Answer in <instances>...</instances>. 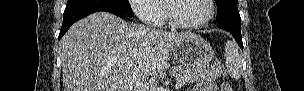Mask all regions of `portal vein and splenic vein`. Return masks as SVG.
I'll use <instances>...</instances> for the list:
<instances>
[{
    "mask_svg": "<svg viewBox=\"0 0 304 91\" xmlns=\"http://www.w3.org/2000/svg\"><path fill=\"white\" fill-rule=\"evenodd\" d=\"M176 88H179L180 87V84L179 83H176V86H175Z\"/></svg>",
    "mask_w": 304,
    "mask_h": 91,
    "instance_id": "portal-vein-and-splenic-vein-1",
    "label": "portal vein and splenic vein"
}]
</instances>
